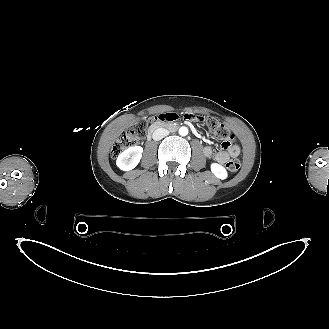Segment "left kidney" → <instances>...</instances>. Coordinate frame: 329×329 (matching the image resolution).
I'll use <instances>...</instances> for the list:
<instances>
[{
	"label": "left kidney",
	"mask_w": 329,
	"mask_h": 329,
	"mask_svg": "<svg viewBox=\"0 0 329 329\" xmlns=\"http://www.w3.org/2000/svg\"><path fill=\"white\" fill-rule=\"evenodd\" d=\"M211 172L214 174L215 177L221 180L226 179L228 176L226 169L218 163L211 164Z\"/></svg>",
	"instance_id": "obj_1"
}]
</instances>
